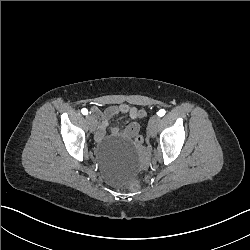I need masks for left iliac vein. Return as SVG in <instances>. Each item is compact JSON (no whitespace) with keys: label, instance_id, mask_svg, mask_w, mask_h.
Returning <instances> with one entry per match:
<instances>
[{"label":"left iliac vein","instance_id":"left-iliac-vein-1","mask_svg":"<svg viewBox=\"0 0 250 250\" xmlns=\"http://www.w3.org/2000/svg\"><path fill=\"white\" fill-rule=\"evenodd\" d=\"M161 118L157 115H153L148 122V133L150 136H155L157 132L158 125L160 123Z\"/></svg>","mask_w":250,"mask_h":250}]
</instances>
